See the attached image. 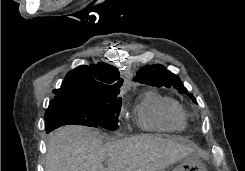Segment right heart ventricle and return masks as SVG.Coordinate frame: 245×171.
<instances>
[{"label": "right heart ventricle", "instance_id": "obj_1", "mask_svg": "<svg viewBox=\"0 0 245 171\" xmlns=\"http://www.w3.org/2000/svg\"><path fill=\"white\" fill-rule=\"evenodd\" d=\"M139 127L150 132H173L185 128L186 114L173 98L147 91L136 107Z\"/></svg>", "mask_w": 245, "mask_h": 171}]
</instances>
